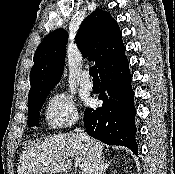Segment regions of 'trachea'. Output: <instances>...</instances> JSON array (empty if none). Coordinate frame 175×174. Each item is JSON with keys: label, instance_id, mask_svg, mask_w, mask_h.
Masks as SVG:
<instances>
[{"label": "trachea", "instance_id": "1", "mask_svg": "<svg viewBox=\"0 0 175 174\" xmlns=\"http://www.w3.org/2000/svg\"><path fill=\"white\" fill-rule=\"evenodd\" d=\"M89 74L93 77V80H99L98 72L95 66L90 68Z\"/></svg>", "mask_w": 175, "mask_h": 174}]
</instances>
